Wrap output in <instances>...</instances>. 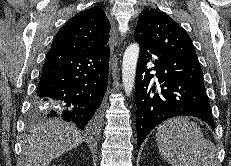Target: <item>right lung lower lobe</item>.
Instances as JSON below:
<instances>
[{
    "label": "right lung lower lobe",
    "mask_w": 231,
    "mask_h": 166,
    "mask_svg": "<svg viewBox=\"0 0 231 166\" xmlns=\"http://www.w3.org/2000/svg\"><path fill=\"white\" fill-rule=\"evenodd\" d=\"M109 45L93 52L50 49L32 109L60 117L89 134L97 131L108 84Z\"/></svg>",
    "instance_id": "1"
}]
</instances>
